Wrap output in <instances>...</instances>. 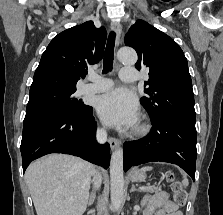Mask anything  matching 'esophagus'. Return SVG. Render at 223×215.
Listing matches in <instances>:
<instances>
[{
    "label": "esophagus",
    "instance_id": "34e87169",
    "mask_svg": "<svg viewBox=\"0 0 223 215\" xmlns=\"http://www.w3.org/2000/svg\"><path fill=\"white\" fill-rule=\"evenodd\" d=\"M111 29L116 34V46L118 47V45L120 43L121 32H122V27L120 25V22H117L116 20H113L111 22ZM109 143H110L111 150H114L115 148L119 147L120 140H118V138L111 137L109 139Z\"/></svg>",
    "mask_w": 223,
    "mask_h": 215
}]
</instances>
